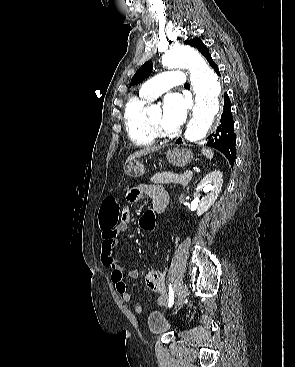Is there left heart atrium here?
Listing matches in <instances>:
<instances>
[{"label":"left heart atrium","instance_id":"1","mask_svg":"<svg viewBox=\"0 0 295 367\" xmlns=\"http://www.w3.org/2000/svg\"><path fill=\"white\" fill-rule=\"evenodd\" d=\"M188 111L187 100L179 93H171L164 99L162 127L167 131L177 130L184 122Z\"/></svg>","mask_w":295,"mask_h":367}]
</instances>
